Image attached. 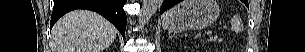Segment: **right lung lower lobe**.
I'll use <instances>...</instances> for the list:
<instances>
[{"label":"right lung lower lobe","mask_w":305,"mask_h":52,"mask_svg":"<svg viewBox=\"0 0 305 52\" xmlns=\"http://www.w3.org/2000/svg\"><path fill=\"white\" fill-rule=\"evenodd\" d=\"M127 0H54L50 28L67 12L87 9L99 13L109 20L125 37L126 14L123 6Z\"/></svg>","instance_id":"right-lung-lower-lobe-1"}]
</instances>
